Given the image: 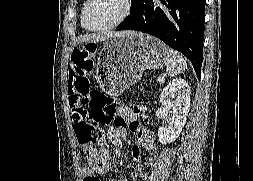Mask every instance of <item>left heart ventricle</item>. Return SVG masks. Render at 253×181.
I'll return each mask as SVG.
<instances>
[{
    "instance_id": "obj_1",
    "label": "left heart ventricle",
    "mask_w": 253,
    "mask_h": 181,
    "mask_svg": "<svg viewBox=\"0 0 253 181\" xmlns=\"http://www.w3.org/2000/svg\"><path fill=\"white\" fill-rule=\"evenodd\" d=\"M123 0H92L85 12V23L100 28L113 22L123 11Z\"/></svg>"
}]
</instances>
